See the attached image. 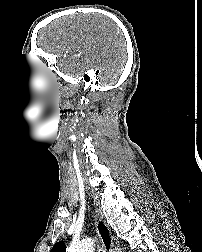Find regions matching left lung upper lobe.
<instances>
[{
  "label": "left lung upper lobe",
  "instance_id": "5c2ea615",
  "mask_svg": "<svg viewBox=\"0 0 202 252\" xmlns=\"http://www.w3.org/2000/svg\"><path fill=\"white\" fill-rule=\"evenodd\" d=\"M50 252H65V247L63 242H59L51 249Z\"/></svg>",
  "mask_w": 202,
  "mask_h": 252
}]
</instances>
